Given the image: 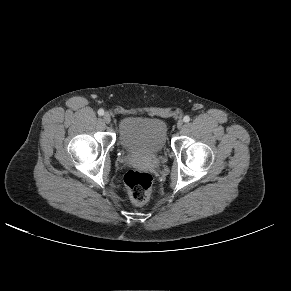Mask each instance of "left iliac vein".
Returning <instances> with one entry per match:
<instances>
[{
	"mask_svg": "<svg viewBox=\"0 0 291 291\" xmlns=\"http://www.w3.org/2000/svg\"><path fill=\"white\" fill-rule=\"evenodd\" d=\"M176 126H177L178 129H181L183 127V121L182 120H179L177 122V125Z\"/></svg>",
	"mask_w": 291,
	"mask_h": 291,
	"instance_id": "4c4485c4",
	"label": "left iliac vein"
}]
</instances>
